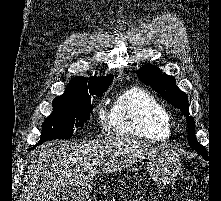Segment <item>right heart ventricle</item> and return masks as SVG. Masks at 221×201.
<instances>
[{
  "label": "right heart ventricle",
  "mask_w": 221,
  "mask_h": 201,
  "mask_svg": "<svg viewBox=\"0 0 221 201\" xmlns=\"http://www.w3.org/2000/svg\"><path fill=\"white\" fill-rule=\"evenodd\" d=\"M109 125L113 133L154 141L167 140L172 133L165 106L149 91L131 87L115 97Z\"/></svg>",
  "instance_id": "obj_1"
}]
</instances>
